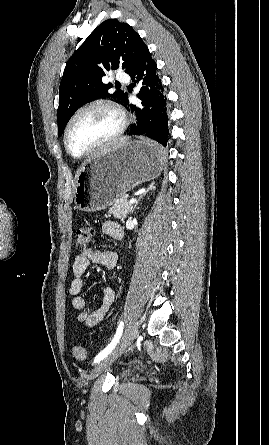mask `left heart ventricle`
Returning <instances> with one entry per match:
<instances>
[{
  "label": "left heart ventricle",
  "instance_id": "obj_1",
  "mask_svg": "<svg viewBox=\"0 0 269 445\" xmlns=\"http://www.w3.org/2000/svg\"><path fill=\"white\" fill-rule=\"evenodd\" d=\"M119 124L117 116L102 107L92 108L80 114L68 134V146L72 153L80 155L111 136Z\"/></svg>",
  "mask_w": 269,
  "mask_h": 445
}]
</instances>
